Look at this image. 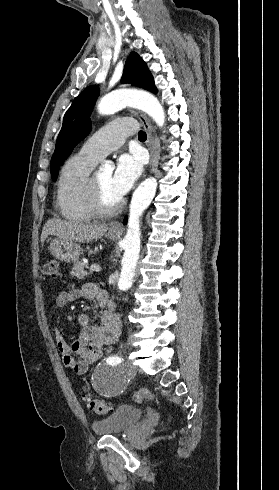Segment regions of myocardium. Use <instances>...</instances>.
Masks as SVG:
<instances>
[{
    "label": "myocardium",
    "mask_w": 279,
    "mask_h": 490,
    "mask_svg": "<svg viewBox=\"0 0 279 490\" xmlns=\"http://www.w3.org/2000/svg\"><path fill=\"white\" fill-rule=\"evenodd\" d=\"M92 190L90 195L91 207L96 215L111 216L117 213L122 208V201L118 199L116 202L110 203L106 201L103 188L97 181L96 177H92Z\"/></svg>",
    "instance_id": "myocardium-1"
}]
</instances>
